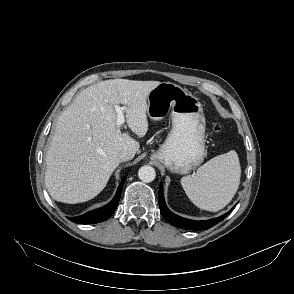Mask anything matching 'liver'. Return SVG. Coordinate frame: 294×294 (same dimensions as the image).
<instances>
[{"label": "liver", "instance_id": "liver-1", "mask_svg": "<svg viewBox=\"0 0 294 294\" xmlns=\"http://www.w3.org/2000/svg\"><path fill=\"white\" fill-rule=\"evenodd\" d=\"M159 81L111 79L84 89L58 117L46 154L45 183L53 199L86 202L106 186L120 164L118 155H134L139 142L116 125L115 105L125 107L128 127L138 137L148 131L147 97Z\"/></svg>", "mask_w": 294, "mask_h": 294}]
</instances>
